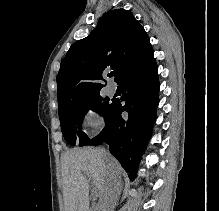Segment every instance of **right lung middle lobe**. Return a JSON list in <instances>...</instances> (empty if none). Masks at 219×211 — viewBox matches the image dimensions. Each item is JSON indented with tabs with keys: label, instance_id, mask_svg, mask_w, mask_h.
I'll use <instances>...</instances> for the list:
<instances>
[{
	"label": "right lung middle lobe",
	"instance_id": "obj_1",
	"mask_svg": "<svg viewBox=\"0 0 219 211\" xmlns=\"http://www.w3.org/2000/svg\"><path fill=\"white\" fill-rule=\"evenodd\" d=\"M113 105V102L109 103V98L104 99L100 94L59 105V119L65 140L73 146L78 140L80 147L85 146L89 141L88 136L81 132L85 114L92 110L106 119Z\"/></svg>",
	"mask_w": 219,
	"mask_h": 211
}]
</instances>
